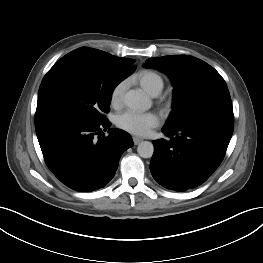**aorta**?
I'll list each match as a JSON object with an SVG mask.
<instances>
[{
	"label": "aorta",
	"mask_w": 263,
	"mask_h": 263,
	"mask_svg": "<svg viewBox=\"0 0 263 263\" xmlns=\"http://www.w3.org/2000/svg\"><path fill=\"white\" fill-rule=\"evenodd\" d=\"M123 101L128 108L136 111H145L151 106L149 98L137 90H129L124 95ZM137 152L142 158H151L154 153V146L149 141H143L138 145Z\"/></svg>",
	"instance_id": "obj_1"
}]
</instances>
